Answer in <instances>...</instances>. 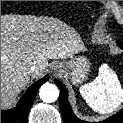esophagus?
<instances>
[{
	"instance_id": "1",
	"label": "esophagus",
	"mask_w": 123,
	"mask_h": 123,
	"mask_svg": "<svg viewBox=\"0 0 123 123\" xmlns=\"http://www.w3.org/2000/svg\"><path fill=\"white\" fill-rule=\"evenodd\" d=\"M60 70H61L60 65H56V66L53 68V73H54V74H58V73L60 72Z\"/></svg>"
}]
</instances>
